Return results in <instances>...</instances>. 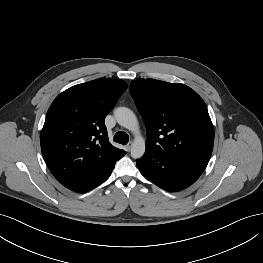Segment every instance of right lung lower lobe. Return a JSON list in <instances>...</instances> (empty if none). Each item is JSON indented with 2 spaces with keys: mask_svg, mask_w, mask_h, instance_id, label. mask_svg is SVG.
I'll return each mask as SVG.
<instances>
[{
  "mask_svg": "<svg viewBox=\"0 0 263 263\" xmlns=\"http://www.w3.org/2000/svg\"><path fill=\"white\" fill-rule=\"evenodd\" d=\"M114 165L110 166L108 169L104 170L103 172L99 173L93 178L76 185L75 187L71 188V190L83 193L94 189L109 178V176L112 173V170L114 169Z\"/></svg>",
  "mask_w": 263,
  "mask_h": 263,
  "instance_id": "obj_1",
  "label": "right lung lower lobe"
}]
</instances>
